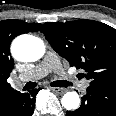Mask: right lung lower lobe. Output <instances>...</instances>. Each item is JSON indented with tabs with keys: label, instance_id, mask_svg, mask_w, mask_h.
<instances>
[{
	"label": "right lung lower lobe",
	"instance_id": "1",
	"mask_svg": "<svg viewBox=\"0 0 116 116\" xmlns=\"http://www.w3.org/2000/svg\"><path fill=\"white\" fill-rule=\"evenodd\" d=\"M39 90L25 93L16 91L0 109V116H31L35 107V96Z\"/></svg>",
	"mask_w": 116,
	"mask_h": 116
}]
</instances>
